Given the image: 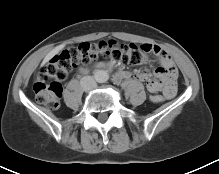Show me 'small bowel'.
<instances>
[{
	"mask_svg": "<svg viewBox=\"0 0 219 174\" xmlns=\"http://www.w3.org/2000/svg\"><path fill=\"white\" fill-rule=\"evenodd\" d=\"M142 47L158 56L162 66L154 72L158 80L149 79V75L145 71L138 72L136 78L145 82V88L151 93L165 94L166 99L173 98L177 91L178 71L170 55L158 45L143 44ZM130 76L131 73L128 71H118L114 74L113 80L119 83Z\"/></svg>",
	"mask_w": 219,
	"mask_h": 174,
	"instance_id": "1",
	"label": "small bowel"
}]
</instances>
